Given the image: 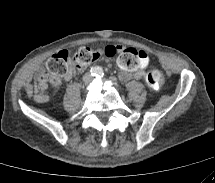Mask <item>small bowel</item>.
Here are the masks:
<instances>
[{
	"instance_id": "small-bowel-1",
	"label": "small bowel",
	"mask_w": 215,
	"mask_h": 183,
	"mask_svg": "<svg viewBox=\"0 0 215 183\" xmlns=\"http://www.w3.org/2000/svg\"><path fill=\"white\" fill-rule=\"evenodd\" d=\"M117 48L120 51L117 54L116 61L121 69L119 78L122 81H127L130 78L140 79L150 69L152 60L146 50L131 46L124 47L123 45H118ZM73 75L74 70L72 68L62 78H49L45 71H40L32 84L34 100L38 103L47 102L48 96L43 91L48 84L59 86L62 82L70 81Z\"/></svg>"
}]
</instances>
